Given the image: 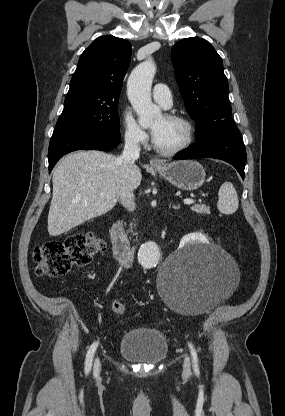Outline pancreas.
Masks as SVG:
<instances>
[{"label": "pancreas", "mask_w": 285, "mask_h": 416, "mask_svg": "<svg viewBox=\"0 0 285 416\" xmlns=\"http://www.w3.org/2000/svg\"><path fill=\"white\" fill-rule=\"evenodd\" d=\"M191 210L196 214H210V208L205 204H195V206H191ZM130 226H135V224H130Z\"/></svg>", "instance_id": "pancreas-1"}]
</instances>
